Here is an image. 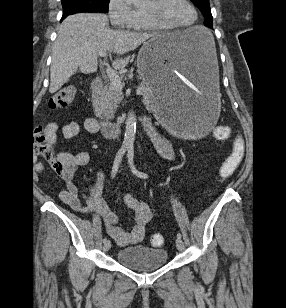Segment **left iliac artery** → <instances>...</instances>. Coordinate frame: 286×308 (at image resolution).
Wrapping results in <instances>:
<instances>
[{
    "instance_id": "left-iliac-artery-1",
    "label": "left iliac artery",
    "mask_w": 286,
    "mask_h": 308,
    "mask_svg": "<svg viewBox=\"0 0 286 308\" xmlns=\"http://www.w3.org/2000/svg\"><path fill=\"white\" fill-rule=\"evenodd\" d=\"M127 156H128V162H129V165H130V168H131V171L133 172V174L136 175L139 178H142V179L148 178V175L146 173L137 170L135 165H134V162H133L134 148H133V146L128 147V155ZM181 237H182L181 233L180 232L177 233V238H181Z\"/></svg>"
}]
</instances>
